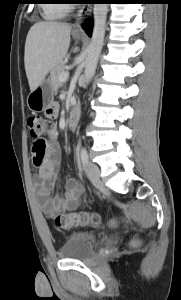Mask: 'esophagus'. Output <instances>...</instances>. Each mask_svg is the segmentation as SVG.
<instances>
[{"instance_id": "1", "label": "esophagus", "mask_w": 181, "mask_h": 300, "mask_svg": "<svg viewBox=\"0 0 181 300\" xmlns=\"http://www.w3.org/2000/svg\"><path fill=\"white\" fill-rule=\"evenodd\" d=\"M92 5L88 4L83 7H81L76 14V21L73 25V32L74 33H79V34H84V30L82 28L83 23L85 22L86 16L89 15L91 11Z\"/></svg>"}]
</instances>
